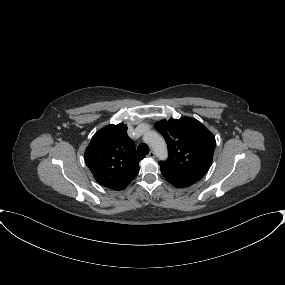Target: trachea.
<instances>
[{
  "mask_svg": "<svg viewBox=\"0 0 285 285\" xmlns=\"http://www.w3.org/2000/svg\"><path fill=\"white\" fill-rule=\"evenodd\" d=\"M138 152L141 154H148L149 153V148L146 144L141 143L138 145Z\"/></svg>",
  "mask_w": 285,
  "mask_h": 285,
  "instance_id": "trachea-1",
  "label": "trachea"
}]
</instances>
